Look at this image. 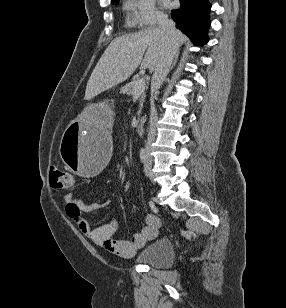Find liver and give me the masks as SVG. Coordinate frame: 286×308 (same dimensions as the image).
<instances>
[{"mask_svg": "<svg viewBox=\"0 0 286 308\" xmlns=\"http://www.w3.org/2000/svg\"><path fill=\"white\" fill-rule=\"evenodd\" d=\"M178 46L188 39L180 31ZM165 48V35L159 28H149L134 34L120 36L111 41L95 66L86 86L85 99L89 100L128 79L136 69L154 71ZM144 56V57H143ZM87 109L84 117L97 123V117Z\"/></svg>", "mask_w": 286, "mask_h": 308, "instance_id": "obj_1", "label": "liver"}]
</instances>
